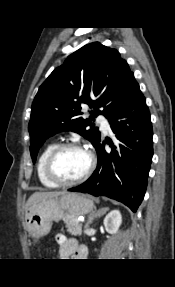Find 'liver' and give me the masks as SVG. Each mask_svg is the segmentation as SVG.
<instances>
[{
    "instance_id": "liver-1",
    "label": "liver",
    "mask_w": 175,
    "mask_h": 287,
    "mask_svg": "<svg viewBox=\"0 0 175 287\" xmlns=\"http://www.w3.org/2000/svg\"><path fill=\"white\" fill-rule=\"evenodd\" d=\"M65 192H57V191H52V192H35L33 193L29 199L26 202L25 205V216L27 215L28 211L30 209L33 208V206H35L36 204H38L39 202L48 199V198H53V197H57L60 196L62 194H64Z\"/></svg>"
}]
</instances>
